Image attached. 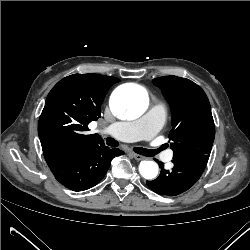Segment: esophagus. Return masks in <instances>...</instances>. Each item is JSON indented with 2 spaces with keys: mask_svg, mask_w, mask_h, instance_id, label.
Here are the masks:
<instances>
[{
  "mask_svg": "<svg viewBox=\"0 0 250 250\" xmlns=\"http://www.w3.org/2000/svg\"><path fill=\"white\" fill-rule=\"evenodd\" d=\"M130 155H131L134 159H136L137 161H140V160H143V159H144L143 156H141V155H139V154H136V153H130Z\"/></svg>",
  "mask_w": 250,
  "mask_h": 250,
  "instance_id": "1",
  "label": "esophagus"
}]
</instances>
